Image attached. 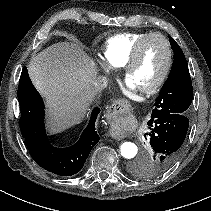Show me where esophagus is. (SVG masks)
<instances>
[{
	"label": "esophagus",
	"mask_w": 211,
	"mask_h": 211,
	"mask_svg": "<svg viewBox=\"0 0 211 211\" xmlns=\"http://www.w3.org/2000/svg\"><path fill=\"white\" fill-rule=\"evenodd\" d=\"M122 107H126V106H125V103H124L123 101H117V102H115L114 104H112V105L110 106V109L116 110V109L122 108Z\"/></svg>",
	"instance_id": "obj_1"
}]
</instances>
